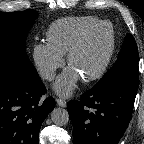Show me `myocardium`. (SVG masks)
I'll use <instances>...</instances> for the list:
<instances>
[{
	"label": "myocardium",
	"mask_w": 144,
	"mask_h": 144,
	"mask_svg": "<svg viewBox=\"0 0 144 144\" xmlns=\"http://www.w3.org/2000/svg\"><path fill=\"white\" fill-rule=\"evenodd\" d=\"M105 25H108L110 27V42H109L108 51H107L101 65L94 72H92L91 74H89L87 76L81 77L82 81L85 83L93 82V81L99 79L100 77H102L111 62V59L114 55L115 47H116V36H115V30H114L113 25L108 21H99L98 23H96L93 26L84 30L74 40V42L71 44L70 48L68 49L67 64L69 66H71V63H72V60H73L75 54L82 47V45L85 43V41L88 39V37L93 32H95L96 30H98L99 28H101L102 26H105Z\"/></svg>",
	"instance_id": "f54148a6"
}]
</instances>
